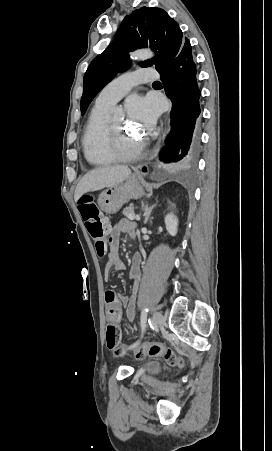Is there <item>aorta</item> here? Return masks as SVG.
<instances>
[{
  "label": "aorta",
  "mask_w": 272,
  "mask_h": 451,
  "mask_svg": "<svg viewBox=\"0 0 272 451\" xmlns=\"http://www.w3.org/2000/svg\"><path fill=\"white\" fill-rule=\"evenodd\" d=\"M130 56L132 60H147V58H152L153 52L151 50H137V52H131Z\"/></svg>",
  "instance_id": "obj_1"
}]
</instances>
